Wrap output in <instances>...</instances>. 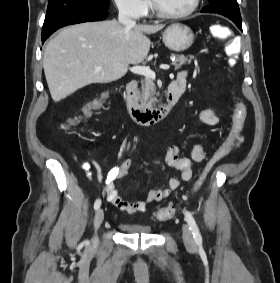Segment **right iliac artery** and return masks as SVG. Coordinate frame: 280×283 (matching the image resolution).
I'll return each instance as SVG.
<instances>
[{
  "mask_svg": "<svg viewBox=\"0 0 280 283\" xmlns=\"http://www.w3.org/2000/svg\"><path fill=\"white\" fill-rule=\"evenodd\" d=\"M101 206V200L97 199L94 203V209L97 210Z\"/></svg>",
  "mask_w": 280,
  "mask_h": 283,
  "instance_id": "1",
  "label": "right iliac artery"
}]
</instances>
